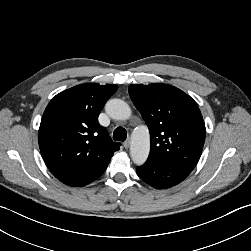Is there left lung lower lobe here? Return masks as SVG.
I'll list each match as a JSON object with an SVG mask.
<instances>
[{
    "label": "left lung lower lobe",
    "instance_id": "1",
    "mask_svg": "<svg viewBox=\"0 0 251 251\" xmlns=\"http://www.w3.org/2000/svg\"><path fill=\"white\" fill-rule=\"evenodd\" d=\"M192 170L187 168L145 162L136 168L137 175L147 184L158 189L170 188L182 182Z\"/></svg>",
    "mask_w": 251,
    "mask_h": 251
}]
</instances>
